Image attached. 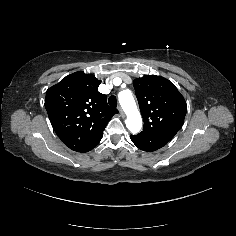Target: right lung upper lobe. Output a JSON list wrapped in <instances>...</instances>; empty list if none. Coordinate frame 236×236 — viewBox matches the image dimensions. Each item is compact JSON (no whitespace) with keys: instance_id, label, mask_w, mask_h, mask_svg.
Returning <instances> with one entry per match:
<instances>
[{"instance_id":"obj_1","label":"right lung upper lobe","mask_w":236,"mask_h":236,"mask_svg":"<svg viewBox=\"0 0 236 236\" xmlns=\"http://www.w3.org/2000/svg\"><path fill=\"white\" fill-rule=\"evenodd\" d=\"M101 81L78 71L46 92L45 108L58 137L70 149L82 152L103 137L107 123L118 113L98 92Z\"/></svg>"}]
</instances>
